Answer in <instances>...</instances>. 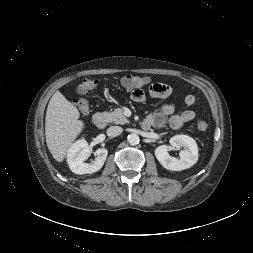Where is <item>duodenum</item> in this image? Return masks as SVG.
I'll use <instances>...</instances> for the list:
<instances>
[{
	"label": "duodenum",
	"mask_w": 253,
	"mask_h": 253,
	"mask_svg": "<svg viewBox=\"0 0 253 253\" xmlns=\"http://www.w3.org/2000/svg\"><path fill=\"white\" fill-rule=\"evenodd\" d=\"M92 124L94 127L98 128V129L104 128L106 125L105 117L100 113L94 114L92 117ZM149 127H150L149 123L144 121L142 124V128L144 130H147V129H149Z\"/></svg>",
	"instance_id": "1"
}]
</instances>
